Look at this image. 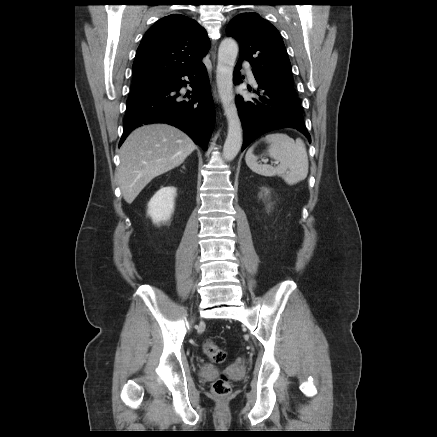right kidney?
<instances>
[{
	"mask_svg": "<svg viewBox=\"0 0 437 437\" xmlns=\"http://www.w3.org/2000/svg\"><path fill=\"white\" fill-rule=\"evenodd\" d=\"M176 188L162 187L158 190L148 203L147 214L154 224L167 222L174 211V200Z\"/></svg>",
	"mask_w": 437,
	"mask_h": 437,
	"instance_id": "right-kidney-1",
	"label": "right kidney"
}]
</instances>
